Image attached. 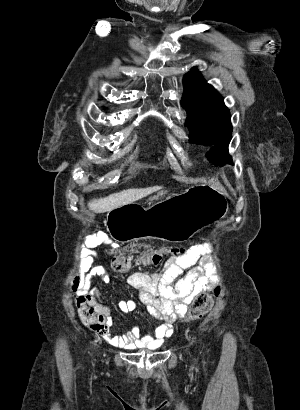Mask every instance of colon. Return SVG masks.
<instances>
[{
  "label": "colon",
  "instance_id": "5ec220e1",
  "mask_svg": "<svg viewBox=\"0 0 300 410\" xmlns=\"http://www.w3.org/2000/svg\"><path fill=\"white\" fill-rule=\"evenodd\" d=\"M139 256L134 257L127 254H114L112 257V268L119 273L129 271L133 266H158L164 258L169 255H182L185 250L181 247H160L155 249H137ZM79 280L73 283L74 288H78ZM220 288L216 287L211 293L199 292L193 299L189 309L183 314L184 320H195L204 316L213 305L214 296L219 295Z\"/></svg>",
  "mask_w": 300,
  "mask_h": 410
}]
</instances>
